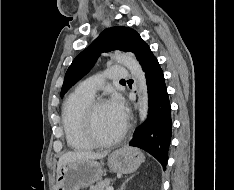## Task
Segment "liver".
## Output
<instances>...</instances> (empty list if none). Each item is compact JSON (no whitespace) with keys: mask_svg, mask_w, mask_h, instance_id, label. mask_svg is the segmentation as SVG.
Listing matches in <instances>:
<instances>
[{"mask_svg":"<svg viewBox=\"0 0 234 190\" xmlns=\"http://www.w3.org/2000/svg\"><path fill=\"white\" fill-rule=\"evenodd\" d=\"M107 155V153H94L89 151H73V152H67L63 154L58 161L57 164V172L59 169L68 162H73L77 160H95V159H102Z\"/></svg>","mask_w":234,"mask_h":190,"instance_id":"1","label":"liver"}]
</instances>
